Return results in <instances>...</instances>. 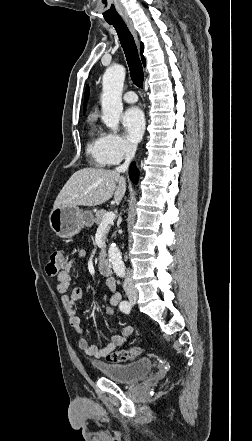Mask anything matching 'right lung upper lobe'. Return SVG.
Returning a JSON list of instances; mask_svg holds the SVG:
<instances>
[{"label": "right lung upper lobe", "mask_w": 252, "mask_h": 441, "mask_svg": "<svg viewBox=\"0 0 252 441\" xmlns=\"http://www.w3.org/2000/svg\"><path fill=\"white\" fill-rule=\"evenodd\" d=\"M143 49H144L143 44H141V49H140L141 55L143 53ZM142 61H143V64L145 65V58L143 55H142ZM88 97H89V87L87 86V88L85 90V102H84V108H83L84 112L86 111V102H87Z\"/></svg>", "instance_id": "obj_1"}]
</instances>
